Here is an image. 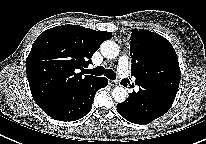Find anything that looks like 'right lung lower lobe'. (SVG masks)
Wrapping results in <instances>:
<instances>
[{
	"instance_id": "1",
	"label": "right lung lower lobe",
	"mask_w": 206,
	"mask_h": 144,
	"mask_svg": "<svg viewBox=\"0 0 206 144\" xmlns=\"http://www.w3.org/2000/svg\"><path fill=\"white\" fill-rule=\"evenodd\" d=\"M107 84L108 80L105 77H97L78 94L59 102L53 107L44 110V112L59 121L79 120L91 111L96 91Z\"/></svg>"
}]
</instances>
